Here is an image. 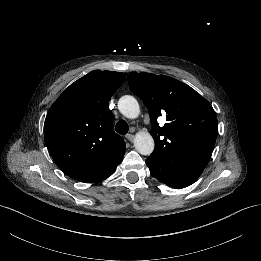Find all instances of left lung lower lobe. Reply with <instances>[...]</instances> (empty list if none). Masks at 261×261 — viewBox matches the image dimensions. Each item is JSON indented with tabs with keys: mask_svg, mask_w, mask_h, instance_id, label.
I'll return each mask as SVG.
<instances>
[{
	"mask_svg": "<svg viewBox=\"0 0 261 261\" xmlns=\"http://www.w3.org/2000/svg\"><path fill=\"white\" fill-rule=\"evenodd\" d=\"M146 164L153 177L176 189L191 185L203 172L188 167L175 166L153 156L147 158Z\"/></svg>",
	"mask_w": 261,
	"mask_h": 261,
	"instance_id": "obj_1",
	"label": "left lung lower lobe"
}]
</instances>
